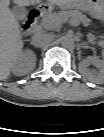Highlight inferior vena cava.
<instances>
[{
  "mask_svg": "<svg viewBox=\"0 0 104 137\" xmlns=\"http://www.w3.org/2000/svg\"><path fill=\"white\" fill-rule=\"evenodd\" d=\"M48 41V36L47 34L38 32L34 36H32V41L31 43L35 47H42L46 42Z\"/></svg>",
  "mask_w": 104,
  "mask_h": 137,
  "instance_id": "obj_1",
  "label": "inferior vena cava"
}]
</instances>
